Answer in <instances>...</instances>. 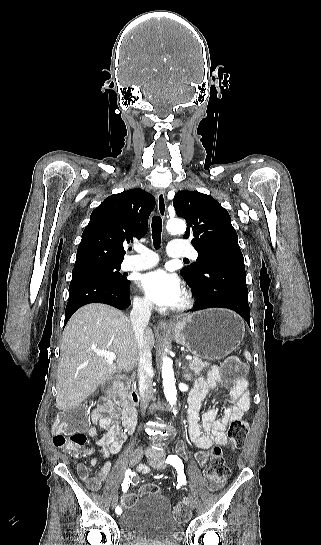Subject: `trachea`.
<instances>
[{
    "instance_id": "1",
    "label": "trachea",
    "mask_w": 321,
    "mask_h": 545,
    "mask_svg": "<svg viewBox=\"0 0 321 545\" xmlns=\"http://www.w3.org/2000/svg\"><path fill=\"white\" fill-rule=\"evenodd\" d=\"M152 240L154 248H159L161 245V232H162V219L159 216L154 215L152 217ZM184 262H187L188 259L184 258Z\"/></svg>"
}]
</instances>
